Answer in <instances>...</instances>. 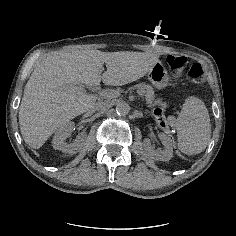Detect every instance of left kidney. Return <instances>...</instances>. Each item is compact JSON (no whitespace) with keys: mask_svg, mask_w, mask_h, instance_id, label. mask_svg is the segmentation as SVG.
Instances as JSON below:
<instances>
[{"mask_svg":"<svg viewBox=\"0 0 236 236\" xmlns=\"http://www.w3.org/2000/svg\"><path fill=\"white\" fill-rule=\"evenodd\" d=\"M158 136L162 141V144L164 145L163 150L160 149L154 150L150 145L149 139L144 140L143 142L144 149L151 159L160 161H169L173 156V148L171 145V141L169 137L164 133H159Z\"/></svg>","mask_w":236,"mask_h":236,"instance_id":"obj_1","label":"left kidney"}]
</instances>
